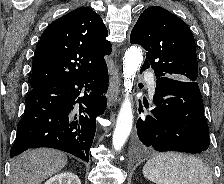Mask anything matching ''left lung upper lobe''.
<instances>
[{
	"mask_svg": "<svg viewBox=\"0 0 224 184\" xmlns=\"http://www.w3.org/2000/svg\"><path fill=\"white\" fill-rule=\"evenodd\" d=\"M130 42L147 51L142 69L151 67L156 78L197 81L194 36L187 24L168 10L159 6L147 8L132 29Z\"/></svg>",
	"mask_w": 224,
	"mask_h": 184,
	"instance_id": "obj_1",
	"label": "left lung upper lobe"
}]
</instances>
